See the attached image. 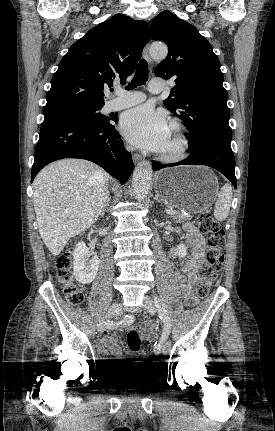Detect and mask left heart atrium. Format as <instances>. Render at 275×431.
Returning a JSON list of instances; mask_svg holds the SVG:
<instances>
[{
    "label": "left heart atrium",
    "mask_w": 275,
    "mask_h": 431,
    "mask_svg": "<svg viewBox=\"0 0 275 431\" xmlns=\"http://www.w3.org/2000/svg\"><path fill=\"white\" fill-rule=\"evenodd\" d=\"M120 130L133 145L159 152L166 143L169 126L161 112L149 105H142L122 116Z\"/></svg>",
    "instance_id": "left-heart-atrium-1"
}]
</instances>
